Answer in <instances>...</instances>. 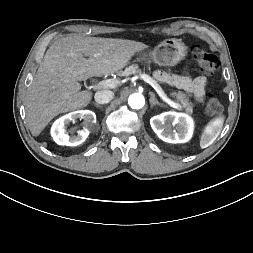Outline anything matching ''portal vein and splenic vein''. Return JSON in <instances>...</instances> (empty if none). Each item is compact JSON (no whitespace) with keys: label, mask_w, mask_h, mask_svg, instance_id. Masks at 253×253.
<instances>
[{"label":"portal vein and splenic vein","mask_w":253,"mask_h":253,"mask_svg":"<svg viewBox=\"0 0 253 253\" xmlns=\"http://www.w3.org/2000/svg\"><path fill=\"white\" fill-rule=\"evenodd\" d=\"M140 78L143 79L148 84H150L155 89L157 94L163 99V101H165L171 107H173V108L180 107V105L178 103L173 102L165 95V93L162 90V88L160 87V85L153 78H151L149 75L140 74ZM118 84H119V81L117 79H107V80H103V81L99 82L98 87L105 88V89H108V88L112 89V88H115Z\"/></svg>","instance_id":"1"}]
</instances>
